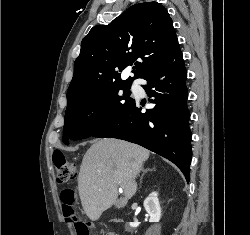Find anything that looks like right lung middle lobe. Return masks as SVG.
I'll list each match as a JSON object with an SVG mask.
<instances>
[{
	"mask_svg": "<svg viewBox=\"0 0 250 235\" xmlns=\"http://www.w3.org/2000/svg\"><path fill=\"white\" fill-rule=\"evenodd\" d=\"M129 86L112 85L80 96L67 104L63 142L93 136L133 101ZM123 90V95H119Z\"/></svg>",
	"mask_w": 250,
	"mask_h": 235,
	"instance_id": "obj_1",
	"label": "right lung middle lobe"
}]
</instances>
